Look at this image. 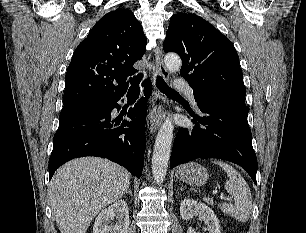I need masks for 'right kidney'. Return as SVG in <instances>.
I'll return each mask as SVG.
<instances>
[{
	"instance_id": "obj_1",
	"label": "right kidney",
	"mask_w": 306,
	"mask_h": 233,
	"mask_svg": "<svg viewBox=\"0 0 306 233\" xmlns=\"http://www.w3.org/2000/svg\"><path fill=\"white\" fill-rule=\"evenodd\" d=\"M116 217L115 226H110V221ZM129 210L124 200H118L104 209L96 218L93 233H128Z\"/></svg>"
}]
</instances>
